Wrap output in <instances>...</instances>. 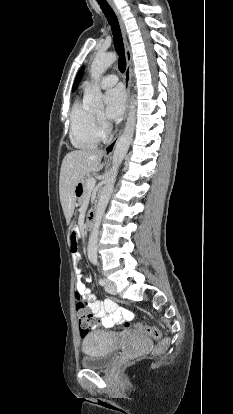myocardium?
I'll list each match as a JSON object with an SVG mask.
<instances>
[{
	"label": "myocardium",
	"instance_id": "obj_1",
	"mask_svg": "<svg viewBox=\"0 0 233 414\" xmlns=\"http://www.w3.org/2000/svg\"><path fill=\"white\" fill-rule=\"evenodd\" d=\"M95 121H96V124L99 128H104L105 127L104 122H103L101 117L95 116Z\"/></svg>",
	"mask_w": 233,
	"mask_h": 414
}]
</instances>
